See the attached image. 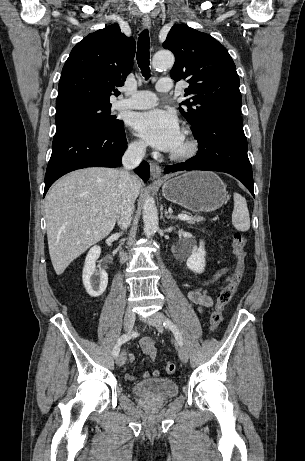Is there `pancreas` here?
Masks as SVG:
<instances>
[{"label":"pancreas","mask_w":305,"mask_h":461,"mask_svg":"<svg viewBox=\"0 0 305 461\" xmlns=\"http://www.w3.org/2000/svg\"><path fill=\"white\" fill-rule=\"evenodd\" d=\"M205 219L201 216H195L192 218V220H189L188 223L190 224H195L196 222H201V221H204Z\"/></svg>","instance_id":"pancreas-1"}]
</instances>
